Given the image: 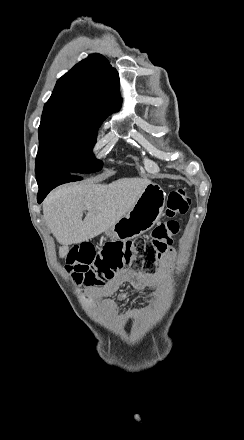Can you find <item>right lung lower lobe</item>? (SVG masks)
<instances>
[{"label": "right lung lower lobe", "mask_w": 244, "mask_h": 440, "mask_svg": "<svg viewBox=\"0 0 244 440\" xmlns=\"http://www.w3.org/2000/svg\"><path fill=\"white\" fill-rule=\"evenodd\" d=\"M39 192L37 195L38 203H41L46 195L58 185L81 180L82 177L79 174H73L69 172H46L36 177Z\"/></svg>", "instance_id": "1"}]
</instances>
